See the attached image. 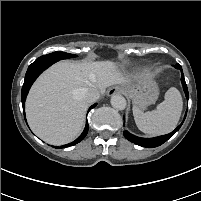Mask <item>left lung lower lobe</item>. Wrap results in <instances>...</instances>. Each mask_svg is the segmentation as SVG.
Returning a JSON list of instances; mask_svg holds the SVG:
<instances>
[{
  "label": "left lung lower lobe",
  "mask_w": 201,
  "mask_h": 201,
  "mask_svg": "<svg viewBox=\"0 0 201 201\" xmlns=\"http://www.w3.org/2000/svg\"><path fill=\"white\" fill-rule=\"evenodd\" d=\"M176 69H179L182 72V67L180 66V64H176L174 66ZM181 81H182V85H183V89L185 92V95L188 99V89H187V85L184 79V75L182 72V77H181ZM186 118V114L184 116V119ZM183 122L171 133L166 134V135H162V136H158V137H154V138H141V137H137L131 133H129L128 131H124L123 134L125 136V138L129 141H131L132 143H135L139 146L142 147H146V148H154V147H158L160 145H162L164 142H166L169 138H171L182 126Z\"/></svg>",
  "instance_id": "left-lung-lower-lobe-1"
}]
</instances>
